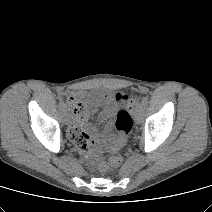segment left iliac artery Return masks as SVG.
I'll return each mask as SVG.
<instances>
[{
    "label": "left iliac artery",
    "mask_w": 212,
    "mask_h": 212,
    "mask_svg": "<svg viewBox=\"0 0 212 212\" xmlns=\"http://www.w3.org/2000/svg\"><path fill=\"white\" fill-rule=\"evenodd\" d=\"M147 104H148V97L147 96H144L142 98V105L145 107V106H147Z\"/></svg>",
    "instance_id": "44dca946"
}]
</instances>
